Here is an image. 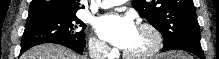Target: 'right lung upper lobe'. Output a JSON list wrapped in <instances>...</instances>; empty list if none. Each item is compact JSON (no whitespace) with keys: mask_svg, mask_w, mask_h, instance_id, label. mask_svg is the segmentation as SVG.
<instances>
[{"mask_svg":"<svg viewBox=\"0 0 219 59\" xmlns=\"http://www.w3.org/2000/svg\"><path fill=\"white\" fill-rule=\"evenodd\" d=\"M84 8V6H82ZM80 9L79 0H32L29 13L35 11H49L73 14Z\"/></svg>","mask_w":219,"mask_h":59,"instance_id":"right-lung-upper-lobe-1","label":"right lung upper lobe"}]
</instances>
